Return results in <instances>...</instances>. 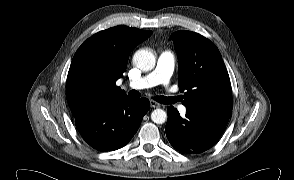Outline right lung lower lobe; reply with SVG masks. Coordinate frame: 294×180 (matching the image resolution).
<instances>
[{
	"label": "right lung lower lobe",
	"instance_id": "obj_1",
	"mask_svg": "<svg viewBox=\"0 0 294 180\" xmlns=\"http://www.w3.org/2000/svg\"><path fill=\"white\" fill-rule=\"evenodd\" d=\"M148 108L146 98L121 97L73 116L78 131L91 147L111 151L131 140Z\"/></svg>",
	"mask_w": 294,
	"mask_h": 180
}]
</instances>
